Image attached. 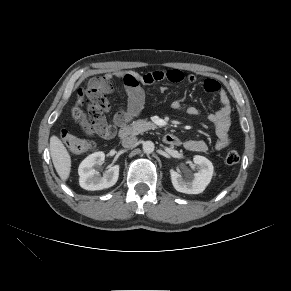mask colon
I'll return each instance as SVG.
<instances>
[{
    "label": "colon",
    "mask_w": 291,
    "mask_h": 291,
    "mask_svg": "<svg viewBox=\"0 0 291 291\" xmlns=\"http://www.w3.org/2000/svg\"><path fill=\"white\" fill-rule=\"evenodd\" d=\"M105 102V91L102 85L81 89L71 109V117L81 128L87 131L93 130L102 121V109ZM84 106L86 109L83 108ZM61 137L67 149L73 154L85 153L93 147V143L79 138L68 130H63ZM239 159V154L235 150H230L225 155V162L228 165L238 163Z\"/></svg>",
    "instance_id": "obj_1"
}]
</instances>
